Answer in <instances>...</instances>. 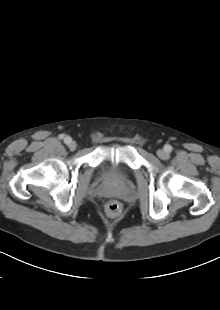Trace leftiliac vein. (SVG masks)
<instances>
[{
    "label": "left iliac vein",
    "instance_id": "left-iliac-vein-1",
    "mask_svg": "<svg viewBox=\"0 0 220 310\" xmlns=\"http://www.w3.org/2000/svg\"><path fill=\"white\" fill-rule=\"evenodd\" d=\"M157 155L160 159H163V160H166L169 158V154L163 149L158 150Z\"/></svg>",
    "mask_w": 220,
    "mask_h": 310
}]
</instances>
